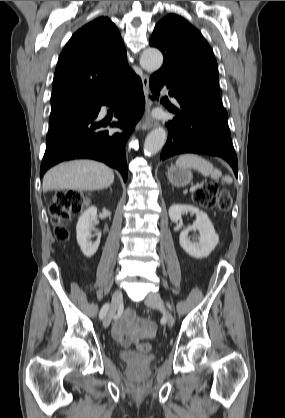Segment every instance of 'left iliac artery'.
<instances>
[{
    "label": "left iliac artery",
    "instance_id": "1",
    "mask_svg": "<svg viewBox=\"0 0 285 418\" xmlns=\"http://www.w3.org/2000/svg\"><path fill=\"white\" fill-rule=\"evenodd\" d=\"M167 306L169 307V309H172V306L170 305V303H167Z\"/></svg>",
    "mask_w": 285,
    "mask_h": 418
}]
</instances>
